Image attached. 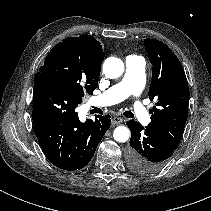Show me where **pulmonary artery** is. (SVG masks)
Returning <instances> with one entry per match:
<instances>
[{
	"label": "pulmonary artery",
	"instance_id": "e3ab8cb5",
	"mask_svg": "<svg viewBox=\"0 0 211 211\" xmlns=\"http://www.w3.org/2000/svg\"><path fill=\"white\" fill-rule=\"evenodd\" d=\"M126 71L122 80L113 85L103 94L93 97L91 103L95 106H109L119 103L131 95H140L145 86V62L135 55L125 60ZM134 115L140 122H146L149 114L142 103L134 106Z\"/></svg>",
	"mask_w": 211,
	"mask_h": 211
}]
</instances>
